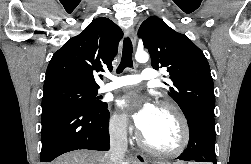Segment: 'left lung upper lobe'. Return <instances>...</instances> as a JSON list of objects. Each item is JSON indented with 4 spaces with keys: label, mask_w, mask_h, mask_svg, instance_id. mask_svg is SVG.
<instances>
[{
    "label": "left lung upper lobe",
    "mask_w": 251,
    "mask_h": 164,
    "mask_svg": "<svg viewBox=\"0 0 251 164\" xmlns=\"http://www.w3.org/2000/svg\"><path fill=\"white\" fill-rule=\"evenodd\" d=\"M138 36L150 53L152 67H166L170 73L168 94L184 115L196 110L214 112L213 80L203 52L188 37L155 16L141 24Z\"/></svg>",
    "instance_id": "1"
}]
</instances>
